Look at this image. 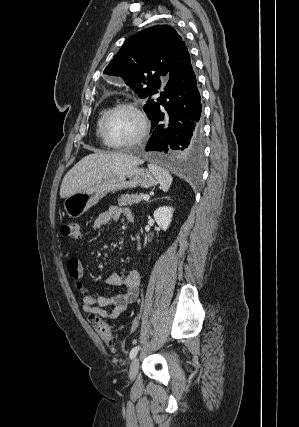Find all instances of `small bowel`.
I'll list each match as a JSON object with an SVG mask.
<instances>
[{"label":"small bowel","mask_w":299,"mask_h":427,"mask_svg":"<svg viewBox=\"0 0 299 427\" xmlns=\"http://www.w3.org/2000/svg\"><path fill=\"white\" fill-rule=\"evenodd\" d=\"M128 221L133 218L132 212L125 207L111 206L107 211L98 215L94 221L93 228L98 230L110 222L118 221L121 217ZM69 276L76 282L78 289L83 291L82 309L91 317L99 316L105 319L115 320L126 311L129 304L136 301L140 285V273L137 270H131L126 275L110 274L107 278L108 284L116 287H123L124 292L113 296L95 297L82 288L81 280L84 276V266L80 259L71 258L67 263ZM112 307L108 311L105 308Z\"/></svg>","instance_id":"obj_1"}]
</instances>
